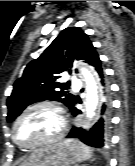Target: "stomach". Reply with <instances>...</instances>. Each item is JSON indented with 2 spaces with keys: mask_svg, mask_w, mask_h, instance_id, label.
<instances>
[{
  "mask_svg": "<svg viewBox=\"0 0 135 166\" xmlns=\"http://www.w3.org/2000/svg\"><path fill=\"white\" fill-rule=\"evenodd\" d=\"M75 153L74 147L60 142L34 151L22 166H73Z\"/></svg>",
  "mask_w": 135,
  "mask_h": 166,
  "instance_id": "stomach-1",
  "label": "stomach"
}]
</instances>
